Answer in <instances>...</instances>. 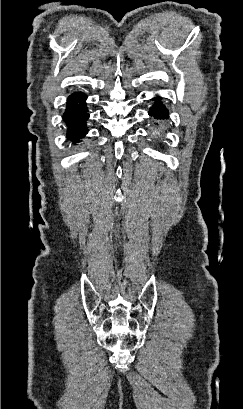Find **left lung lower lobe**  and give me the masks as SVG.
I'll list each match as a JSON object with an SVG mask.
<instances>
[{"mask_svg":"<svg viewBox=\"0 0 243 409\" xmlns=\"http://www.w3.org/2000/svg\"><path fill=\"white\" fill-rule=\"evenodd\" d=\"M155 103L149 110V115L153 116L155 119H166L168 118V110L161 102L160 97L154 98Z\"/></svg>","mask_w":243,"mask_h":409,"instance_id":"left-lung-lower-lobe-1","label":"left lung lower lobe"}]
</instances>
